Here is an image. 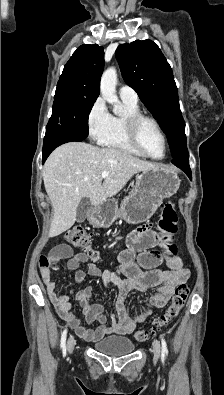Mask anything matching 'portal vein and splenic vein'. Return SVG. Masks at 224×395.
<instances>
[{
	"mask_svg": "<svg viewBox=\"0 0 224 395\" xmlns=\"http://www.w3.org/2000/svg\"><path fill=\"white\" fill-rule=\"evenodd\" d=\"M108 175H109V172H107V171H104V172H102V174H101V176H102L103 179L106 178Z\"/></svg>",
	"mask_w": 224,
	"mask_h": 395,
	"instance_id": "obj_1",
	"label": "portal vein and splenic vein"
}]
</instances>
